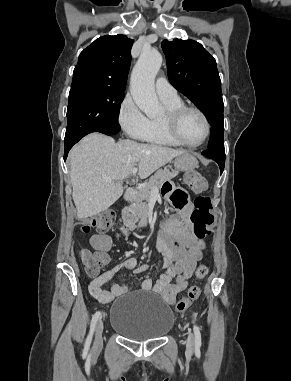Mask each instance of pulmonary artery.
<instances>
[{
	"label": "pulmonary artery",
	"instance_id": "1",
	"mask_svg": "<svg viewBox=\"0 0 291 381\" xmlns=\"http://www.w3.org/2000/svg\"><path fill=\"white\" fill-rule=\"evenodd\" d=\"M156 92L159 98L173 100L178 98L176 89L164 77H159L155 82Z\"/></svg>",
	"mask_w": 291,
	"mask_h": 381
}]
</instances>
